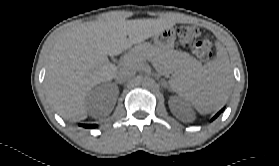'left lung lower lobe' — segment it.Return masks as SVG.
Returning <instances> with one entry per match:
<instances>
[{
	"instance_id": "obj_1",
	"label": "left lung lower lobe",
	"mask_w": 279,
	"mask_h": 166,
	"mask_svg": "<svg viewBox=\"0 0 279 166\" xmlns=\"http://www.w3.org/2000/svg\"><path fill=\"white\" fill-rule=\"evenodd\" d=\"M222 111H223V109L216 116H214V118L212 120H214Z\"/></svg>"
}]
</instances>
